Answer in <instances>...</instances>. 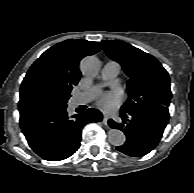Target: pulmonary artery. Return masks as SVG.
<instances>
[{
    "instance_id": "e3ab8cb5",
    "label": "pulmonary artery",
    "mask_w": 194,
    "mask_h": 193,
    "mask_svg": "<svg viewBox=\"0 0 194 193\" xmlns=\"http://www.w3.org/2000/svg\"><path fill=\"white\" fill-rule=\"evenodd\" d=\"M121 66L118 62L109 61L107 62L101 72V77L105 82L113 80L120 72ZM99 86H93L75 97V104H85L91 101L99 92Z\"/></svg>"
}]
</instances>
